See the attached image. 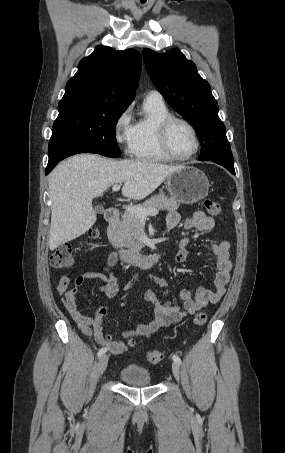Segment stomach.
Wrapping results in <instances>:
<instances>
[{"mask_svg":"<svg viewBox=\"0 0 285 453\" xmlns=\"http://www.w3.org/2000/svg\"><path fill=\"white\" fill-rule=\"evenodd\" d=\"M172 199L182 204H194L208 195L209 180L204 172L193 166H182L167 177Z\"/></svg>","mask_w":285,"mask_h":453,"instance_id":"0dacf381","label":"stomach"}]
</instances>
